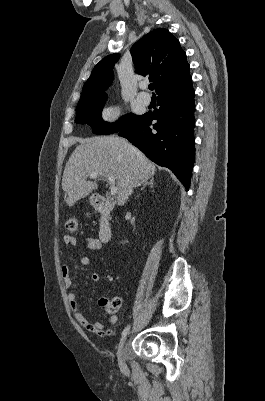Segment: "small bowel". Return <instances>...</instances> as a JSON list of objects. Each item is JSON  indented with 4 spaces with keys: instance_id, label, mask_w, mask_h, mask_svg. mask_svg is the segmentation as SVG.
<instances>
[{
    "instance_id": "obj_1",
    "label": "small bowel",
    "mask_w": 265,
    "mask_h": 401,
    "mask_svg": "<svg viewBox=\"0 0 265 401\" xmlns=\"http://www.w3.org/2000/svg\"><path fill=\"white\" fill-rule=\"evenodd\" d=\"M63 243L66 245L75 247L77 245V240L75 237H73L71 235H65L63 237ZM102 247H103V243L99 239L94 238V237L85 238V248L86 249L92 250V251H100L102 249ZM79 261L82 265L87 266V267H92L94 265V261H92L91 259H89L86 256L80 257ZM72 272H73V269H72L71 264L68 261H65L62 264L61 273H62V277H63L66 288H70L72 285ZM91 280L93 282H99L101 280V277L98 273H92ZM67 299L70 303L74 318L76 319V321L79 323V325L81 327L86 329L88 332L98 335L99 337H108L113 334V331L110 329H105L104 325L102 323L90 322L83 316V314L81 313V311L78 308L77 296L74 292H72V291L68 292ZM101 301H102V299L99 301V304L101 303ZM110 321H111V323L115 324L118 322V317L112 316L110 318Z\"/></svg>"
}]
</instances>
